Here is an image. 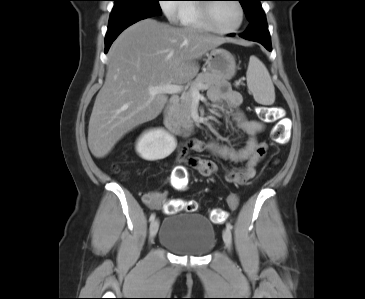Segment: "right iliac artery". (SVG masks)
<instances>
[{
    "mask_svg": "<svg viewBox=\"0 0 365 299\" xmlns=\"http://www.w3.org/2000/svg\"><path fill=\"white\" fill-rule=\"evenodd\" d=\"M154 219H155V214H154V213H152V214L150 215L149 220L152 222V221H154Z\"/></svg>",
    "mask_w": 365,
    "mask_h": 299,
    "instance_id": "right-iliac-artery-1",
    "label": "right iliac artery"
}]
</instances>
